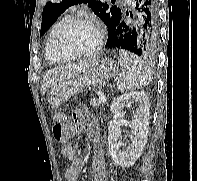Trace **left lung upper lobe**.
I'll return each mask as SVG.
<instances>
[{
  "label": "left lung upper lobe",
  "instance_id": "obj_1",
  "mask_svg": "<svg viewBox=\"0 0 197 181\" xmlns=\"http://www.w3.org/2000/svg\"><path fill=\"white\" fill-rule=\"evenodd\" d=\"M81 3L88 4L92 11L104 21L107 28L112 21L122 15L121 9L117 6L110 7L107 3L96 0H54L48 2L43 9L40 35H43L67 8Z\"/></svg>",
  "mask_w": 197,
  "mask_h": 181
}]
</instances>
